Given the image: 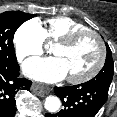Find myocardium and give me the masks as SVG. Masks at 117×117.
Returning a JSON list of instances; mask_svg holds the SVG:
<instances>
[{
  "label": "myocardium",
  "instance_id": "1",
  "mask_svg": "<svg viewBox=\"0 0 117 117\" xmlns=\"http://www.w3.org/2000/svg\"><path fill=\"white\" fill-rule=\"evenodd\" d=\"M84 35H91L96 39L98 46H99V57L95 66L87 73L81 76L66 78L68 82L73 83V84L85 83L93 79L101 71L102 67L104 66L105 59H106V48H105L104 41L102 37L96 31L85 28V29H80L77 31L70 32L55 42V45L70 46L77 39H79L80 37Z\"/></svg>",
  "mask_w": 117,
  "mask_h": 117
}]
</instances>
